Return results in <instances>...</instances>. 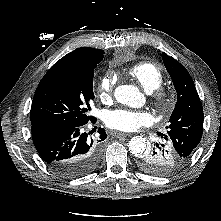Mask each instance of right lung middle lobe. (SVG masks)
Segmentation results:
<instances>
[{"instance_id": "1", "label": "right lung middle lobe", "mask_w": 221, "mask_h": 221, "mask_svg": "<svg viewBox=\"0 0 221 221\" xmlns=\"http://www.w3.org/2000/svg\"><path fill=\"white\" fill-rule=\"evenodd\" d=\"M103 57H92L75 65L49 69L40 81L31 108V122L49 126H81L94 100V69Z\"/></svg>"}]
</instances>
